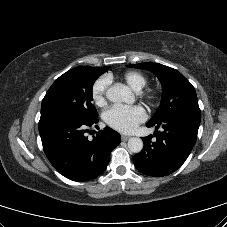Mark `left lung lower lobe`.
I'll use <instances>...</instances> for the list:
<instances>
[{
  "label": "left lung lower lobe",
  "mask_w": 227,
  "mask_h": 227,
  "mask_svg": "<svg viewBox=\"0 0 227 227\" xmlns=\"http://www.w3.org/2000/svg\"><path fill=\"white\" fill-rule=\"evenodd\" d=\"M201 114L184 113L147 127H162L163 132L142 138L144 149L133 157L135 167L143 174L161 177L176 171L189 156L198 133Z\"/></svg>",
  "instance_id": "obj_1"
}]
</instances>
